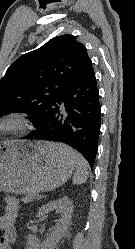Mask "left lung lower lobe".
I'll return each mask as SVG.
<instances>
[{"label": "left lung lower lobe", "mask_w": 135, "mask_h": 249, "mask_svg": "<svg viewBox=\"0 0 135 249\" xmlns=\"http://www.w3.org/2000/svg\"><path fill=\"white\" fill-rule=\"evenodd\" d=\"M99 89L93 68L68 86L47 110L39 127L24 139L63 142L94 167L101 126Z\"/></svg>", "instance_id": "obj_1"}]
</instances>
